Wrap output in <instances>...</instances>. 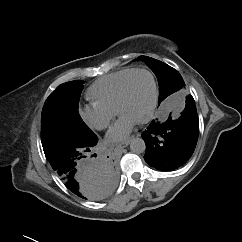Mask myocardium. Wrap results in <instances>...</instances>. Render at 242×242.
I'll list each match as a JSON object with an SVG mask.
<instances>
[{
	"label": "myocardium",
	"instance_id": "1",
	"mask_svg": "<svg viewBox=\"0 0 242 242\" xmlns=\"http://www.w3.org/2000/svg\"><path fill=\"white\" fill-rule=\"evenodd\" d=\"M138 73H146L149 75L151 82H152V89H153L152 101H151V106L149 108V111L144 118H142L140 121L137 122L138 124H145V123H148L149 121H151V119L154 117V114H155V111L157 108V104H158V96H159V89H158V83H157L156 77H155L154 73L149 69L137 68V69L133 70L130 74L127 75V77L122 82V85H121L119 93H118V98H117V103H116V112H117V114L120 115V108L125 100L129 81L135 74H138Z\"/></svg>",
	"mask_w": 242,
	"mask_h": 242
}]
</instances>
